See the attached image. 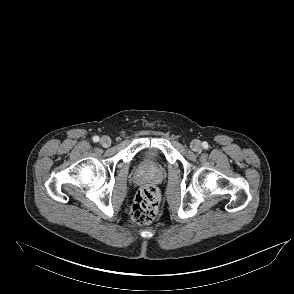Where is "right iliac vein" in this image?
Returning <instances> with one entry per match:
<instances>
[{"mask_svg":"<svg viewBox=\"0 0 294 294\" xmlns=\"http://www.w3.org/2000/svg\"><path fill=\"white\" fill-rule=\"evenodd\" d=\"M100 144L103 147H109L111 145V139L108 136H102L100 139Z\"/></svg>","mask_w":294,"mask_h":294,"instance_id":"right-iliac-vein-1","label":"right iliac vein"}]
</instances>
